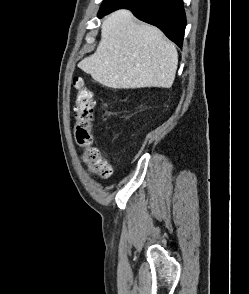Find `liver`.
Masks as SVG:
<instances>
[{
  "label": "liver",
  "mask_w": 249,
  "mask_h": 294,
  "mask_svg": "<svg viewBox=\"0 0 249 294\" xmlns=\"http://www.w3.org/2000/svg\"><path fill=\"white\" fill-rule=\"evenodd\" d=\"M78 66L110 88H169L175 80L178 53L158 28L119 10L104 19L97 50Z\"/></svg>",
  "instance_id": "1"
}]
</instances>
